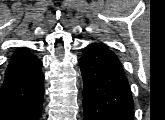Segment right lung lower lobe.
<instances>
[{"instance_id":"obj_1","label":"right lung lower lobe","mask_w":165,"mask_h":120,"mask_svg":"<svg viewBox=\"0 0 165 120\" xmlns=\"http://www.w3.org/2000/svg\"><path fill=\"white\" fill-rule=\"evenodd\" d=\"M42 62L27 48L11 57L0 88V120H39L44 95Z\"/></svg>"}]
</instances>
